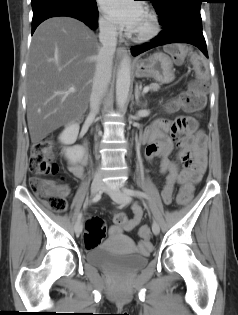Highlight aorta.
<instances>
[{"instance_id": "762f6f07", "label": "aorta", "mask_w": 238, "mask_h": 315, "mask_svg": "<svg viewBox=\"0 0 238 315\" xmlns=\"http://www.w3.org/2000/svg\"><path fill=\"white\" fill-rule=\"evenodd\" d=\"M131 83V67L129 56H124L117 71L116 102L120 110L125 109Z\"/></svg>"}]
</instances>
